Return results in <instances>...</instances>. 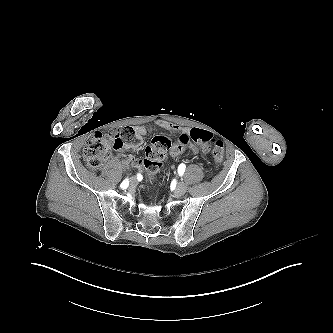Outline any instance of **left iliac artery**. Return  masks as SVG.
Here are the masks:
<instances>
[{"mask_svg": "<svg viewBox=\"0 0 333 333\" xmlns=\"http://www.w3.org/2000/svg\"><path fill=\"white\" fill-rule=\"evenodd\" d=\"M185 165L184 164H180L179 167H178V173L179 175H183L184 174V171H185Z\"/></svg>", "mask_w": 333, "mask_h": 333, "instance_id": "1", "label": "left iliac artery"}]
</instances>
